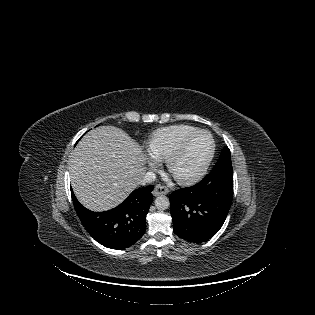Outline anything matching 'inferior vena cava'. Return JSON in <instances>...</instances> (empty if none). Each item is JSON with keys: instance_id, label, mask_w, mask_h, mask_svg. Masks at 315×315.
<instances>
[{"instance_id": "obj_1", "label": "inferior vena cava", "mask_w": 315, "mask_h": 315, "mask_svg": "<svg viewBox=\"0 0 315 315\" xmlns=\"http://www.w3.org/2000/svg\"><path fill=\"white\" fill-rule=\"evenodd\" d=\"M156 179V175L155 173L153 172H147L145 173L142 181H141V184H145V183H153Z\"/></svg>"}]
</instances>
